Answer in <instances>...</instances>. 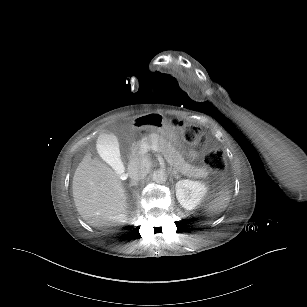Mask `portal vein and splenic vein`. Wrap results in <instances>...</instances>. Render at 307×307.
Wrapping results in <instances>:
<instances>
[{
    "label": "portal vein and splenic vein",
    "instance_id": "obj_1",
    "mask_svg": "<svg viewBox=\"0 0 307 307\" xmlns=\"http://www.w3.org/2000/svg\"><path fill=\"white\" fill-rule=\"evenodd\" d=\"M148 149H151L157 153H162V149L157 145V144H152L151 146H149L147 149L145 147L141 148V153L143 155H146L148 153ZM162 156L164 155L163 153L161 154Z\"/></svg>",
    "mask_w": 307,
    "mask_h": 307
}]
</instances>
